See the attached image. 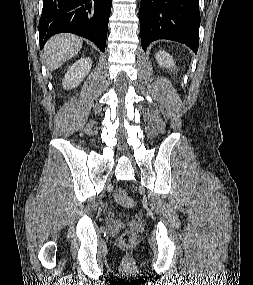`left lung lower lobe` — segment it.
Returning a JSON list of instances; mask_svg holds the SVG:
<instances>
[{
	"label": "left lung lower lobe",
	"instance_id": "left-lung-lower-lobe-1",
	"mask_svg": "<svg viewBox=\"0 0 253 285\" xmlns=\"http://www.w3.org/2000/svg\"><path fill=\"white\" fill-rule=\"evenodd\" d=\"M199 0H141L140 33L144 51L154 40L184 43L197 53Z\"/></svg>",
	"mask_w": 253,
	"mask_h": 285
}]
</instances>
